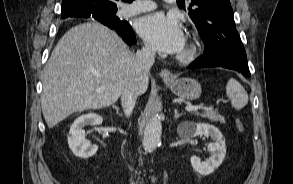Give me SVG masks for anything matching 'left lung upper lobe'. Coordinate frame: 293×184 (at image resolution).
<instances>
[{
	"mask_svg": "<svg viewBox=\"0 0 293 184\" xmlns=\"http://www.w3.org/2000/svg\"><path fill=\"white\" fill-rule=\"evenodd\" d=\"M185 9V0H177ZM204 41L205 51L215 49L221 36L237 32L230 0H191L187 7Z\"/></svg>",
	"mask_w": 293,
	"mask_h": 184,
	"instance_id": "5c2ea615",
	"label": "left lung upper lobe"
}]
</instances>
